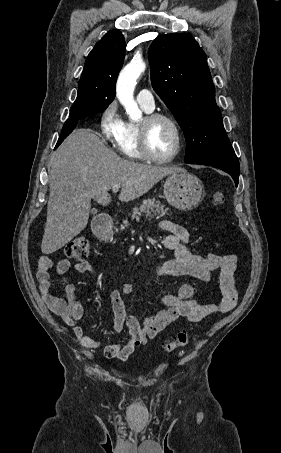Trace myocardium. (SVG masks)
Masks as SVG:
<instances>
[{
	"instance_id": "f54148a6",
	"label": "myocardium",
	"mask_w": 281,
	"mask_h": 453,
	"mask_svg": "<svg viewBox=\"0 0 281 453\" xmlns=\"http://www.w3.org/2000/svg\"><path fill=\"white\" fill-rule=\"evenodd\" d=\"M158 122H165L167 123L173 130L175 134V142L173 146V150L170 155L167 157H158L154 154L152 148H151V143H150V134L152 128L158 123ZM181 142H182V132L180 130V127L176 123V121L164 114H159V113H154V114H149L147 115L143 121L140 124V139H139V144H140V152L141 154L146 157L147 159L157 162V163H168L173 161L181 147Z\"/></svg>"
}]
</instances>
